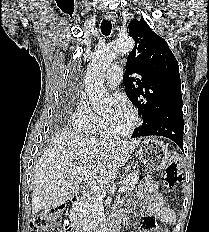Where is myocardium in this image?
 Masks as SVG:
<instances>
[{
	"instance_id": "myocardium-1",
	"label": "myocardium",
	"mask_w": 209,
	"mask_h": 232,
	"mask_svg": "<svg viewBox=\"0 0 209 232\" xmlns=\"http://www.w3.org/2000/svg\"><path fill=\"white\" fill-rule=\"evenodd\" d=\"M127 112L129 113L130 117H131V124L129 125V127L122 132H114L111 131L108 127V123L107 121L104 119L103 120V131L105 133V135L112 137V138H125L130 136L134 130L136 129V127L138 126L140 119L138 114L132 110V109H128Z\"/></svg>"
}]
</instances>
